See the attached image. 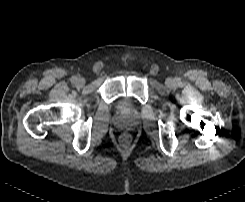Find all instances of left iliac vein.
Masks as SVG:
<instances>
[{
	"label": "left iliac vein",
	"mask_w": 245,
	"mask_h": 202,
	"mask_svg": "<svg viewBox=\"0 0 245 202\" xmlns=\"http://www.w3.org/2000/svg\"><path fill=\"white\" fill-rule=\"evenodd\" d=\"M165 83L168 87H172L174 85V80L172 78H167Z\"/></svg>",
	"instance_id": "1"
}]
</instances>
